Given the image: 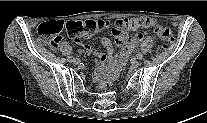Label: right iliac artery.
<instances>
[{
  "label": "right iliac artery",
  "mask_w": 207,
  "mask_h": 123,
  "mask_svg": "<svg viewBox=\"0 0 207 123\" xmlns=\"http://www.w3.org/2000/svg\"><path fill=\"white\" fill-rule=\"evenodd\" d=\"M73 59H74V58H73L72 56H69V57H68V61H69V62H72Z\"/></svg>",
  "instance_id": "1"
}]
</instances>
